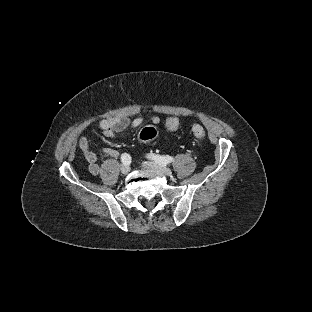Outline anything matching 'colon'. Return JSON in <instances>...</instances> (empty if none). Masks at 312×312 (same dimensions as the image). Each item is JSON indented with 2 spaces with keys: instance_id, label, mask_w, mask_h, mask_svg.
I'll use <instances>...</instances> for the list:
<instances>
[{
  "instance_id": "obj_1",
  "label": "colon",
  "mask_w": 312,
  "mask_h": 312,
  "mask_svg": "<svg viewBox=\"0 0 312 312\" xmlns=\"http://www.w3.org/2000/svg\"><path fill=\"white\" fill-rule=\"evenodd\" d=\"M165 126L169 130L175 129L176 126H177L176 119L171 118V119L167 120L166 123H165ZM191 130L199 138H202L204 136L205 129L199 123L193 124L192 127H191ZM156 135H157L156 128L152 127V126H148V127H144L140 131L139 137H140L141 140L148 141V140L154 139L156 137Z\"/></svg>"
}]
</instances>
